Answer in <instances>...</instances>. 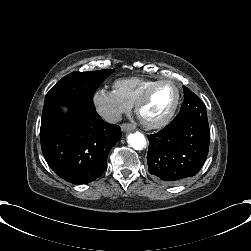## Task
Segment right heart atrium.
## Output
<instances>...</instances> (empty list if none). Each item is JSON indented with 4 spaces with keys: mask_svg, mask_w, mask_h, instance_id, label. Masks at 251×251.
I'll list each match as a JSON object with an SVG mask.
<instances>
[{
    "mask_svg": "<svg viewBox=\"0 0 251 251\" xmlns=\"http://www.w3.org/2000/svg\"><path fill=\"white\" fill-rule=\"evenodd\" d=\"M92 104L96 112L108 123H116L124 113L131 110L132 106L123 101L114 90L104 88L93 92Z\"/></svg>",
    "mask_w": 251,
    "mask_h": 251,
    "instance_id": "obj_1",
    "label": "right heart atrium"
}]
</instances>
